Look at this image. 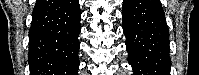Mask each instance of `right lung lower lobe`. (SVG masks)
I'll list each match as a JSON object with an SVG mask.
<instances>
[{
    "mask_svg": "<svg viewBox=\"0 0 199 75\" xmlns=\"http://www.w3.org/2000/svg\"><path fill=\"white\" fill-rule=\"evenodd\" d=\"M78 0H37L29 30L30 75H77Z\"/></svg>",
    "mask_w": 199,
    "mask_h": 75,
    "instance_id": "obj_1",
    "label": "right lung lower lobe"
}]
</instances>
